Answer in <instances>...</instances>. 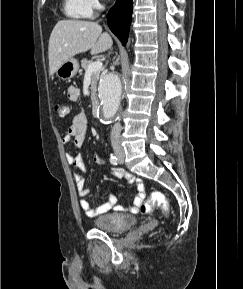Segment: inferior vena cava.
I'll return each instance as SVG.
<instances>
[{"label":"inferior vena cava","mask_w":243,"mask_h":289,"mask_svg":"<svg viewBox=\"0 0 243 289\" xmlns=\"http://www.w3.org/2000/svg\"><path fill=\"white\" fill-rule=\"evenodd\" d=\"M120 133H121V124L119 122L115 123L111 129V145L114 153H122L123 149L120 143Z\"/></svg>","instance_id":"602c4592"}]
</instances>
